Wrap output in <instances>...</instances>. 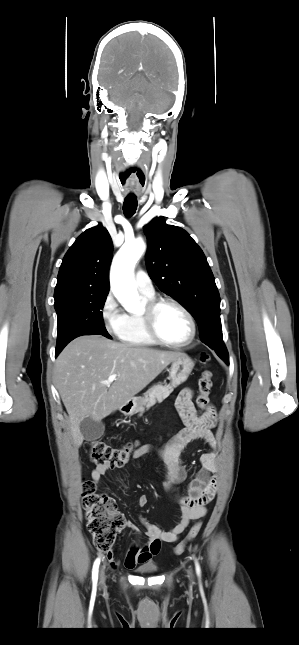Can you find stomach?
Returning a JSON list of instances; mask_svg holds the SVG:
<instances>
[{"label": "stomach", "instance_id": "0dacf381", "mask_svg": "<svg viewBox=\"0 0 299 645\" xmlns=\"http://www.w3.org/2000/svg\"><path fill=\"white\" fill-rule=\"evenodd\" d=\"M193 360L183 354L179 358L172 361L170 368V378L173 386H178L184 383L194 368ZM145 405L144 398L134 397L129 400L125 405L120 407V410L125 415H133L138 412Z\"/></svg>", "mask_w": 299, "mask_h": 645}]
</instances>
